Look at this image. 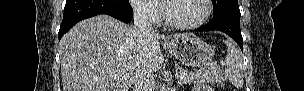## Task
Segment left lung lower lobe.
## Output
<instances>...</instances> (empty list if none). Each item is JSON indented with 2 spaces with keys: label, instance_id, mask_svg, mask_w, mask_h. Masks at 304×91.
I'll return each mask as SVG.
<instances>
[{
  "label": "left lung lower lobe",
  "instance_id": "obj_1",
  "mask_svg": "<svg viewBox=\"0 0 304 91\" xmlns=\"http://www.w3.org/2000/svg\"><path fill=\"white\" fill-rule=\"evenodd\" d=\"M219 30L233 38L243 51V38L240 30V10L238 5H233L214 16L213 20L195 31Z\"/></svg>",
  "mask_w": 304,
  "mask_h": 91
}]
</instances>
